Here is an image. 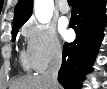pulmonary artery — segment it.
Instances as JSON below:
<instances>
[{"instance_id": "e3ab8cb5", "label": "pulmonary artery", "mask_w": 107, "mask_h": 89, "mask_svg": "<svg viewBox=\"0 0 107 89\" xmlns=\"http://www.w3.org/2000/svg\"><path fill=\"white\" fill-rule=\"evenodd\" d=\"M59 10L62 13H67L69 11V6L67 5L66 1L59 2Z\"/></svg>"}]
</instances>
